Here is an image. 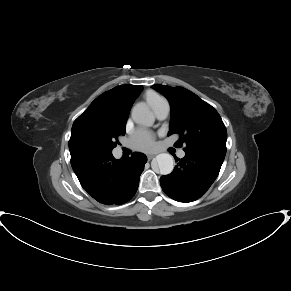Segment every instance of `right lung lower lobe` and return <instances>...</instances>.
<instances>
[{
	"instance_id": "1",
	"label": "right lung lower lobe",
	"mask_w": 291,
	"mask_h": 291,
	"mask_svg": "<svg viewBox=\"0 0 291 291\" xmlns=\"http://www.w3.org/2000/svg\"><path fill=\"white\" fill-rule=\"evenodd\" d=\"M146 162L147 157L137 152L119 160L112 153L71 156V165L81 186L106 205H121L135 195Z\"/></svg>"
}]
</instances>
